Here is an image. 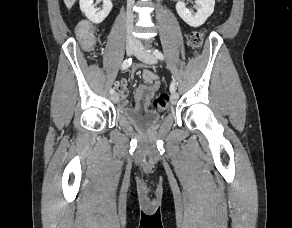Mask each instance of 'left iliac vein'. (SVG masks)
Here are the masks:
<instances>
[{
	"instance_id": "4c4485c4",
	"label": "left iliac vein",
	"mask_w": 292,
	"mask_h": 228,
	"mask_svg": "<svg viewBox=\"0 0 292 228\" xmlns=\"http://www.w3.org/2000/svg\"><path fill=\"white\" fill-rule=\"evenodd\" d=\"M136 57L146 64H155L157 62V58L154 54L148 52L142 43L137 44V48L135 51ZM179 95L177 93H172L170 96V100L172 104H176L178 101Z\"/></svg>"
}]
</instances>
